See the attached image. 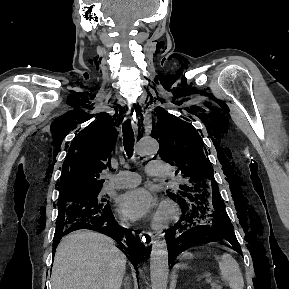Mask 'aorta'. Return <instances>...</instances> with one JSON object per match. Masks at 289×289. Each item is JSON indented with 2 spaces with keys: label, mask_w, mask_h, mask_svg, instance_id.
Listing matches in <instances>:
<instances>
[{
  "label": "aorta",
  "mask_w": 289,
  "mask_h": 289,
  "mask_svg": "<svg viewBox=\"0 0 289 289\" xmlns=\"http://www.w3.org/2000/svg\"><path fill=\"white\" fill-rule=\"evenodd\" d=\"M159 151V144L152 137L140 138L136 153L140 157L155 156ZM168 250L164 234H159L154 240L150 255V277L152 289H167L169 265Z\"/></svg>",
  "instance_id": "obj_1"
}]
</instances>
